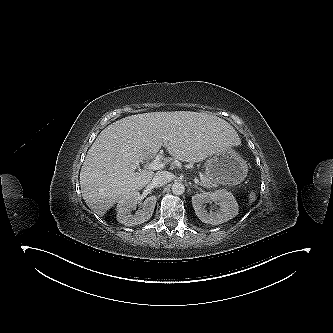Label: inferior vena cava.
<instances>
[{"label":"inferior vena cava","mask_w":333,"mask_h":333,"mask_svg":"<svg viewBox=\"0 0 333 333\" xmlns=\"http://www.w3.org/2000/svg\"><path fill=\"white\" fill-rule=\"evenodd\" d=\"M172 178H173L172 173L168 171H158L155 174L152 182L156 187H160L170 182Z\"/></svg>","instance_id":"602c4592"}]
</instances>
